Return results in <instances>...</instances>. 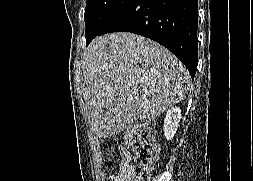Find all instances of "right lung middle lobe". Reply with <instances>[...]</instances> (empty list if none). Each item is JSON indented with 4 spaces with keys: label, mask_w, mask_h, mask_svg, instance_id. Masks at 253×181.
Segmentation results:
<instances>
[{
    "label": "right lung middle lobe",
    "mask_w": 253,
    "mask_h": 181,
    "mask_svg": "<svg viewBox=\"0 0 253 181\" xmlns=\"http://www.w3.org/2000/svg\"><path fill=\"white\" fill-rule=\"evenodd\" d=\"M130 0H87L86 35L100 31Z\"/></svg>",
    "instance_id": "obj_1"
}]
</instances>
